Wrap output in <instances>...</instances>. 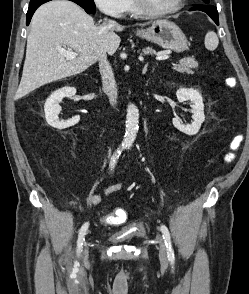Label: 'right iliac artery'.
<instances>
[{
	"label": "right iliac artery",
	"instance_id": "82829eb1",
	"mask_svg": "<svg viewBox=\"0 0 249 294\" xmlns=\"http://www.w3.org/2000/svg\"><path fill=\"white\" fill-rule=\"evenodd\" d=\"M125 147H119L116 152L113 154V156L111 157V161H110V168L113 169L115 167L116 161L119 158V155L121 154L122 150ZM89 223L86 222L83 224V226L81 227V229L79 230V235H78V241H77V254L79 255L82 252L83 249V243H84V236L86 234V231L88 229Z\"/></svg>",
	"mask_w": 249,
	"mask_h": 294
}]
</instances>
